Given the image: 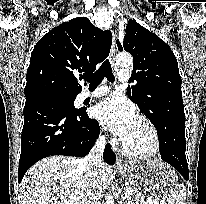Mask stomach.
<instances>
[{
	"label": "stomach",
	"mask_w": 206,
	"mask_h": 204,
	"mask_svg": "<svg viewBox=\"0 0 206 204\" xmlns=\"http://www.w3.org/2000/svg\"><path fill=\"white\" fill-rule=\"evenodd\" d=\"M121 173L147 202L166 198L178 181L175 170L160 160L132 162Z\"/></svg>",
	"instance_id": "stomach-1"
}]
</instances>
